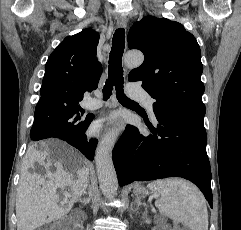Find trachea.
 Wrapping results in <instances>:
<instances>
[{
	"instance_id": "trachea-1",
	"label": "trachea",
	"mask_w": 241,
	"mask_h": 230,
	"mask_svg": "<svg viewBox=\"0 0 241 230\" xmlns=\"http://www.w3.org/2000/svg\"><path fill=\"white\" fill-rule=\"evenodd\" d=\"M125 48V30L119 28L115 31L112 39V50L109 56L108 79L103 88L104 99L107 100L113 90L116 88L117 99L120 103L136 104L134 101L126 97L123 91V69L122 55Z\"/></svg>"
}]
</instances>
